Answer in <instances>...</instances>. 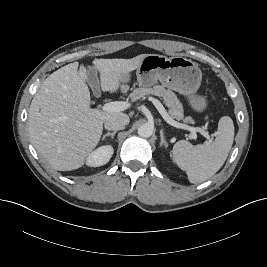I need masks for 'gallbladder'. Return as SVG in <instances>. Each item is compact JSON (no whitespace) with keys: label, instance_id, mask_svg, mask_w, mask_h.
Segmentation results:
<instances>
[{"label":"gallbladder","instance_id":"1","mask_svg":"<svg viewBox=\"0 0 267 267\" xmlns=\"http://www.w3.org/2000/svg\"><path fill=\"white\" fill-rule=\"evenodd\" d=\"M86 81L92 87L96 96H100L99 79L97 77V70L95 68H89L86 73Z\"/></svg>","mask_w":267,"mask_h":267}]
</instances>
